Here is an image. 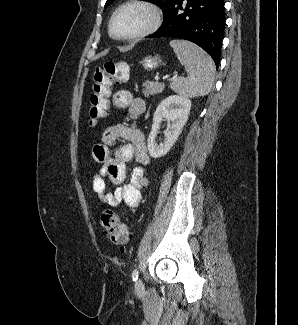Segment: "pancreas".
I'll return each instance as SVG.
<instances>
[{
	"instance_id": "1",
	"label": "pancreas",
	"mask_w": 298,
	"mask_h": 325,
	"mask_svg": "<svg viewBox=\"0 0 298 325\" xmlns=\"http://www.w3.org/2000/svg\"><path fill=\"white\" fill-rule=\"evenodd\" d=\"M142 92L144 96H152V94H159L165 88L164 82H143Z\"/></svg>"
}]
</instances>
